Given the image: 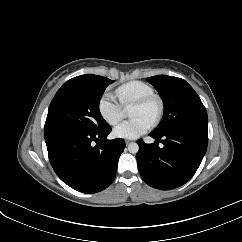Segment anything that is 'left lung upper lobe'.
Here are the masks:
<instances>
[{
    "label": "left lung upper lobe",
    "instance_id": "left-lung-upper-lobe-1",
    "mask_svg": "<svg viewBox=\"0 0 242 242\" xmlns=\"http://www.w3.org/2000/svg\"><path fill=\"white\" fill-rule=\"evenodd\" d=\"M147 81L159 92L164 103L161 123L153 131L162 135L188 125L208 124L207 113L199 96L183 79L157 75Z\"/></svg>",
    "mask_w": 242,
    "mask_h": 242
}]
</instances>
